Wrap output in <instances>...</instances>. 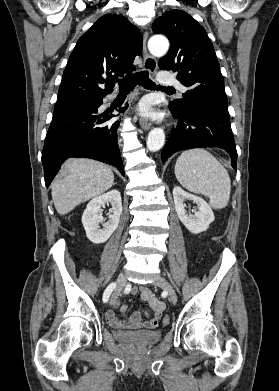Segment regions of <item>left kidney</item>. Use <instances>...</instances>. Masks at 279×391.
I'll return each instance as SVG.
<instances>
[{"mask_svg": "<svg viewBox=\"0 0 279 391\" xmlns=\"http://www.w3.org/2000/svg\"><path fill=\"white\" fill-rule=\"evenodd\" d=\"M173 198L180 221L191 233L198 234L206 231L210 223L214 221L215 217L211 207L201 197L190 194L176 186L173 189ZM186 200H191L197 204L198 210L194 214L186 211L184 204Z\"/></svg>", "mask_w": 279, "mask_h": 391, "instance_id": "1", "label": "left kidney"}]
</instances>
